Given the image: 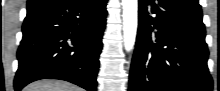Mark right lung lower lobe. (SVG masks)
<instances>
[{"label":"right lung lower lobe","instance_id":"98d812e1","mask_svg":"<svg viewBox=\"0 0 220 91\" xmlns=\"http://www.w3.org/2000/svg\"><path fill=\"white\" fill-rule=\"evenodd\" d=\"M107 0H41L27 5L14 88L61 79L96 91Z\"/></svg>","mask_w":220,"mask_h":91}]
</instances>
